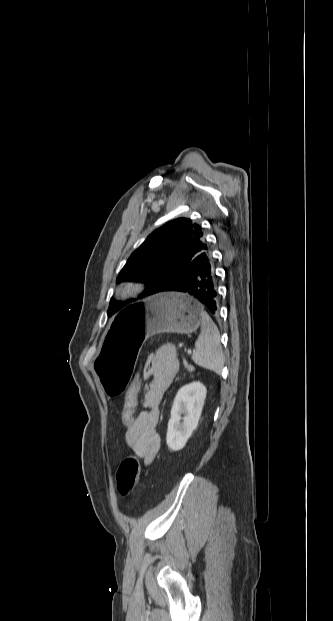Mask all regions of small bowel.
<instances>
[{"instance_id":"1","label":"small bowel","mask_w":333,"mask_h":621,"mask_svg":"<svg viewBox=\"0 0 333 621\" xmlns=\"http://www.w3.org/2000/svg\"><path fill=\"white\" fill-rule=\"evenodd\" d=\"M178 372V362L171 346L160 347L149 359L145 372L142 409L135 421L127 426L125 440L132 451L149 465L160 448L159 406L166 389Z\"/></svg>"}]
</instances>
